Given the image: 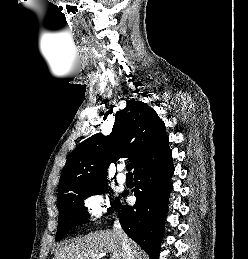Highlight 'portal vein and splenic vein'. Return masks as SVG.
<instances>
[{
	"label": "portal vein and splenic vein",
	"mask_w": 248,
	"mask_h": 259,
	"mask_svg": "<svg viewBox=\"0 0 248 259\" xmlns=\"http://www.w3.org/2000/svg\"><path fill=\"white\" fill-rule=\"evenodd\" d=\"M99 257L102 258V257H104V255H103V254H100Z\"/></svg>",
	"instance_id": "obj_1"
}]
</instances>
